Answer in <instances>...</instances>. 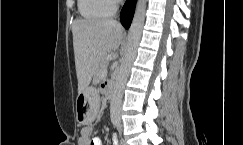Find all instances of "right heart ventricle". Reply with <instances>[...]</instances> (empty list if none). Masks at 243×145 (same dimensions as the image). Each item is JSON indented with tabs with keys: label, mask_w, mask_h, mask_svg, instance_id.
Here are the masks:
<instances>
[{
	"label": "right heart ventricle",
	"mask_w": 243,
	"mask_h": 145,
	"mask_svg": "<svg viewBox=\"0 0 243 145\" xmlns=\"http://www.w3.org/2000/svg\"><path fill=\"white\" fill-rule=\"evenodd\" d=\"M80 14L88 20H97L112 15L114 7L109 0H78Z\"/></svg>",
	"instance_id": "right-heart-ventricle-1"
}]
</instances>
